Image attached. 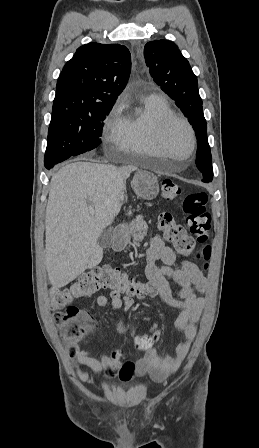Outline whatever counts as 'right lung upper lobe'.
Segmentation results:
<instances>
[{"mask_svg":"<svg viewBox=\"0 0 259 448\" xmlns=\"http://www.w3.org/2000/svg\"><path fill=\"white\" fill-rule=\"evenodd\" d=\"M130 71V52L123 45L91 42L79 47L57 81L52 113L112 107Z\"/></svg>","mask_w":259,"mask_h":448,"instance_id":"right-lung-upper-lobe-1","label":"right lung upper lobe"}]
</instances>
